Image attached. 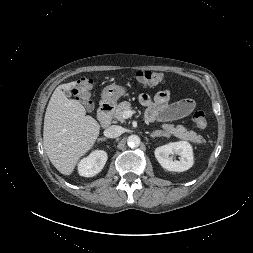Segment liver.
Returning <instances> with one entry per match:
<instances>
[{
	"label": "liver",
	"instance_id": "liver-1",
	"mask_svg": "<svg viewBox=\"0 0 253 253\" xmlns=\"http://www.w3.org/2000/svg\"><path fill=\"white\" fill-rule=\"evenodd\" d=\"M76 84L75 81L60 84L54 90L44 118V149L54 167L64 175L73 172L100 133L99 123L92 116H86L85 108L63 92Z\"/></svg>",
	"mask_w": 253,
	"mask_h": 253
}]
</instances>
